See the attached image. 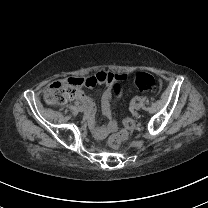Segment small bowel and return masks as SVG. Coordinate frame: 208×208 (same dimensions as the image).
Returning a JSON list of instances; mask_svg holds the SVG:
<instances>
[{
	"mask_svg": "<svg viewBox=\"0 0 208 208\" xmlns=\"http://www.w3.org/2000/svg\"><path fill=\"white\" fill-rule=\"evenodd\" d=\"M117 79H122L118 77ZM74 102L81 103L85 106V115L89 122H94V107L92 101L85 96L80 90L76 93L73 98ZM101 104L103 112L106 116H111V88L106 87L101 95ZM115 128V123L111 120L107 125L96 127L95 131L99 134H105Z\"/></svg>",
	"mask_w": 208,
	"mask_h": 208,
	"instance_id": "1",
	"label": "small bowel"
}]
</instances>
